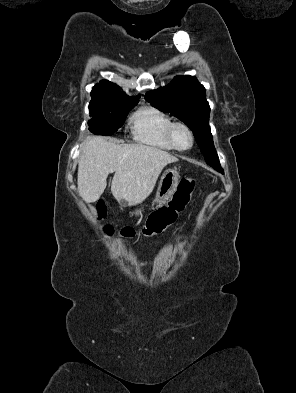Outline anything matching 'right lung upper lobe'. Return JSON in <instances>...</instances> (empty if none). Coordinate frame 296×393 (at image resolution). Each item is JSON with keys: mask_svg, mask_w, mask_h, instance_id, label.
Masks as SVG:
<instances>
[{"mask_svg": "<svg viewBox=\"0 0 296 393\" xmlns=\"http://www.w3.org/2000/svg\"><path fill=\"white\" fill-rule=\"evenodd\" d=\"M90 103L106 102L113 100L138 101V97H129L121 88L107 80L101 81L93 87Z\"/></svg>", "mask_w": 296, "mask_h": 393, "instance_id": "obj_1", "label": "right lung upper lobe"}]
</instances>
